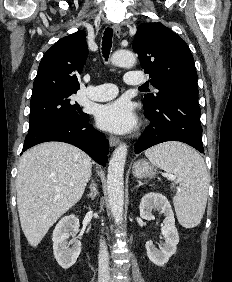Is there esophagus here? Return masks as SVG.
<instances>
[{
    "label": "esophagus",
    "mask_w": 232,
    "mask_h": 282,
    "mask_svg": "<svg viewBox=\"0 0 232 282\" xmlns=\"http://www.w3.org/2000/svg\"><path fill=\"white\" fill-rule=\"evenodd\" d=\"M112 28L114 30V33L116 35V37H119L121 34V27L119 24H113ZM109 144L111 147H115L119 144V138L115 137V136H110L109 138Z\"/></svg>",
    "instance_id": "34e87169"
}]
</instances>
